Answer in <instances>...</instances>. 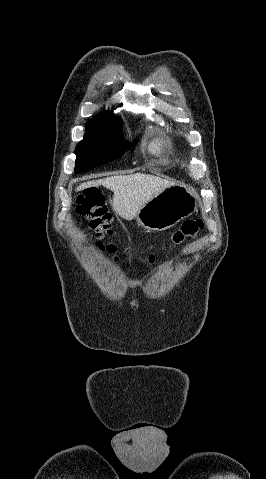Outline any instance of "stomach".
I'll return each mask as SVG.
<instances>
[{
  "instance_id": "0dacf381",
  "label": "stomach",
  "mask_w": 266,
  "mask_h": 479,
  "mask_svg": "<svg viewBox=\"0 0 266 479\" xmlns=\"http://www.w3.org/2000/svg\"><path fill=\"white\" fill-rule=\"evenodd\" d=\"M196 193L174 184L150 199L136 214L137 224L146 230H167L196 211Z\"/></svg>"
}]
</instances>
